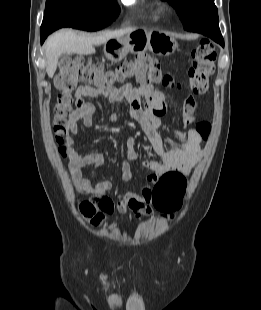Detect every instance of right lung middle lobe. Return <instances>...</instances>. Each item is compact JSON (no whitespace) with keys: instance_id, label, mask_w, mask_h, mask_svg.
<instances>
[{"instance_id":"1","label":"right lung middle lobe","mask_w":261,"mask_h":310,"mask_svg":"<svg viewBox=\"0 0 261 310\" xmlns=\"http://www.w3.org/2000/svg\"><path fill=\"white\" fill-rule=\"evenodd\" d=\"M119 11L116 0H47L41 29L69 26L96 31L111 24Z\"/></svg>"}]
</instances>
